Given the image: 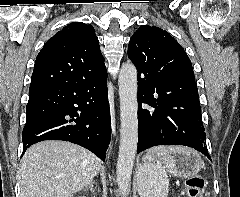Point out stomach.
<instances>
[{
    "mask_svg": "<svg viewBox=\"0 0 240 197\" xmlns=\"http://www.w3.org/2000/svg\"><path fill=\"white\" fill-rule=\"evenodd\" d=\"M184 149H185L184 152L173 154L170 162L164 163L165 168L171 174L180 178H188V177L194 176L203 167V162L200 156L197 154V152L190 150L188 148H184ZM153 161H154V158L151 154L147 153L143 157V164L153 162ZM138 186H139V190L143 186V181L140 174L138 175Z\"/></svg>",
    "mask_w": 240,
    "mask_h": 197,
    "instance_id": "obj_1",
    "label": "stomach"
}]
</instances>
